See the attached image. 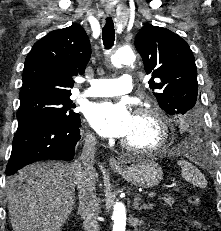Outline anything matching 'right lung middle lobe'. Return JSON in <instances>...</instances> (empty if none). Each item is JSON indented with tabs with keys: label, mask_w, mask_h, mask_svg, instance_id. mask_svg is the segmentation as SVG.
I'll use <instances>...</instances> for the list:
<instances>
[{
	"label": "right lung middle lobe",
	"mask_w": 221,
	"mask_h": 231,
	"mask_svg": "<svg viewBox=\"0 0 221 231\" xmlns=\"http://www.w3.org/2000/svg\"><path fill=\"white\" fill-rule=\"evenodd\" d=\"M69 97L39 95L22 98L17 113L18 122L38 115H52L67 120L77 119L80 116L72 110L75 105Z\"/></svg>",
	"instance_id": "right-lung-middle-lobe-1"
}]
</instances>
